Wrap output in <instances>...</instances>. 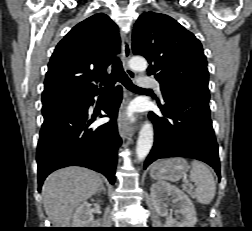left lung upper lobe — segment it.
Returning a JSON list of instances; mask_svg holds the SVG:
<instances>
[{
  "label": "left lung upper lobe",
  "instance_id": "1",
  "mask_svg": "<svg viewBox=\"0 0 252 231\" xmlns=\"http://www.w3.org/2000/svg\"><path fill=\"white\" fill-rule=\"evenodd\" d=\"M133 53L144 56L163 96L181 87L209 92L207 60L200 41L173 18L143 13L134 26Z\"/></svg>",
  "mask_w": 252,
  "mask_h": 231
}]
</instances>
